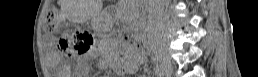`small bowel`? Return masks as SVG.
I'll list each match as a JSON object with an SVG mask.
<instances>
[{"instance_id":"obj_1","label":"small bowel","mask_w":258,"mask_h":77,"mask_svg":"<svg viewBox=\"0 0 258 77\" xmlns=\"http://www.w3.org/2000/svg\"><path fill=\"white\" fill-rule=\"evenodd\" d=\"M126 60L122 63V68L126 72H133L136 70V68L144 63L146 59V55L138 52V53H132V52H126L124 53ZM56 56V53H52V57Z\"/></svg>"}]
</instances>
